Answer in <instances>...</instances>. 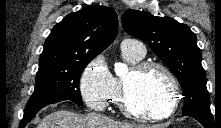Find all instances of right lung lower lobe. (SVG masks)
<instances>
[{
  "label": "right lung lower lobe",
  "instance_id": "1",
  "mask_svg": "<svg viewBox=\"0 0 221 128\" xmlns=\"http://www.w3.org/2000/svg\"><path fill=\"white\" fill-rule=\"evenodd\" d=\"M49 104L40 105L25 111L22 121L20 122V128H24L26 124L36 115V113L43 107Z\"/></svg>",
  "mask_w": 221,
  "mask_h": 128
}]
</instances>
